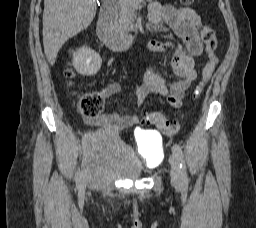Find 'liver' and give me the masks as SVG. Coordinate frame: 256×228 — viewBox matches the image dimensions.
Wrapping results in <instances>:
<instances>
[{
    "mask_svg": "<svg viewBox=\"0 0 256 228\" xmlns=\"http://www.w3.org/2000/svg\"><path fill=\"white\" fill-rule=\"evenodd\" d=\"M96 10L94 0H44L43 45L50 65L63 44L91 24Z\"/></svg>",
    "mask_w": 256,
    "mask_h": 228,
    "instance_id": "liver-1",
    "label": "liver"
}]
</instances>
